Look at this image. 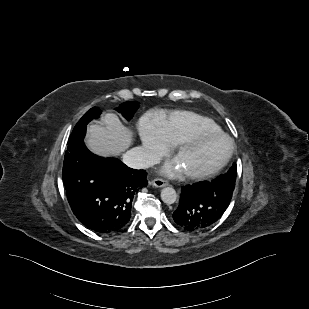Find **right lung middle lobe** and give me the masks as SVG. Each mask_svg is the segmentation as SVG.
<instances>
[{
	"label": "right lung middle lobe",
	"mask_w": 309,
	"mask_h": 309,
	"mask_svg": "<svg viewBox=\"0 0 309 309\" xmlns=\"http://www.w3.org/2000/svg\"><path fill=\"white\" fill-rule=\"evenodd\" d=\"M138 109V103L137 102H125L120 105V107L116 108V110L120 113H122L123 117L130 120L133 117V114ZM101 114V111L98 110V108L93 107L89 111L85 113V115L79 120V122L74 127L75 129H78L82 126H85L88 124L89 121L92 119L98 118Z\"/></svg>",
	"instance_id": "obj_1"
}]
</instances>
